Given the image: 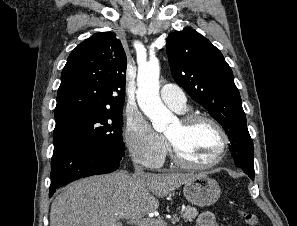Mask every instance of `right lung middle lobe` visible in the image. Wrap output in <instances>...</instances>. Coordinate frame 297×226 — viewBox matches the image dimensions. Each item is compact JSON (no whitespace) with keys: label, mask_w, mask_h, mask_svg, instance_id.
<instances>
[{"label":"right lung middle lobe","mask_w":297,"mask_h":226,"mask_svg":"<svg viewBox=\"0 0 297 226\" xmlns=\"http://www.w3.org/2000/svg\"><path fill=\"white\" fill-rule=\"evenodd\" d=\"M122 110L85 111L56 120L53 141L77 138L125 150L122 139Z\"/></svg>","instance_id":"obj_1"}]
</instances>
